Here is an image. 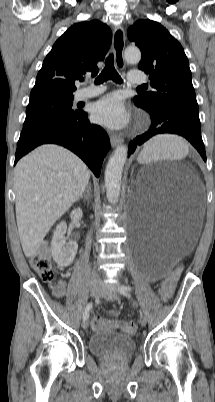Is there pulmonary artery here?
I'll use <instances>...</instances> for the list:
<instances>
[{"label":"pulmonary artery","instance_id":"1","mask_svg":"<svg viewBox=\"0 0 215 402\" xmlns=\"http://www.w3.org/2000/svg\"><path fill=\"white\" fill-rule=\"evenodd\" d=\"M128 81L131 84H143L146 82V76L140 71H132L128 75ZM105 88L103 86H90L78 90L75 94L76 100H84L101 94Z\"/></svg>","mask_w":215,"mask_h":402}]
</instances>
